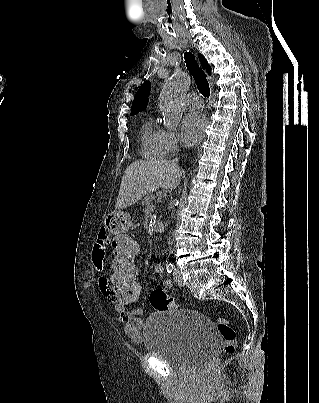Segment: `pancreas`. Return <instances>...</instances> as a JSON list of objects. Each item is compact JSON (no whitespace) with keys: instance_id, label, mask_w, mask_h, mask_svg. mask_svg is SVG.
Here are the masks:
<instances>
[{"instance_id":"1","label":"pancreas","mask_w":319,"mask_h":403,"mask_svg":"<svg viewBox=\"0 0 319 403\" xmlns=\"http://www.w3.org/2000/svg\"><path fill=\"white\" fill-rule=\"evenodd\" d=\"M156 196L154 194H149L148 196L144 197V202L143 205H145L147 208H150L153 206V202L155 201Z\"/></svg>"}]
</instances>
